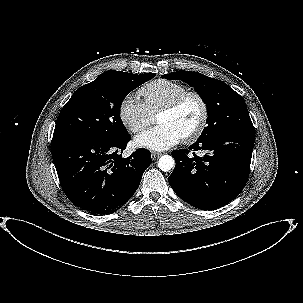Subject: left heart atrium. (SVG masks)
<instances>
[{
	"instance_id": "1",
	"label": "left heart atrium",
	"mask_w": 303,
	"mask_h": 303,
	"mask_svg": "<svg viewBox=\"0 0 303 303\" xmlns=\"http://www.w3.org/2000/svg\"><path fill=\"white\" fill-rule=\"evenodd\" d=\"M181 135L170 125L159 124L135 138V144L151 150L162 151L175 146L181 141Z\"/></svg>"
}]
</instances>
